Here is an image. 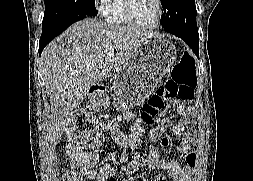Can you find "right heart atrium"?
<instances>
[{
    "label": "right heart atrium",
    "instance_id": "d8ad5b80",
    "mask_svg": "<svg viewBox=\"0 0 253 181\" xmlns=\"http://www.w3.org/2000/svg\"><path fill=\"white\" fill-rule=\"evenodd\" d=\"M110 0H93L97 12L104 16Z\"/></svg>",
    "mask_w": 253,
    "mask_h": 181
}]
</instances>
